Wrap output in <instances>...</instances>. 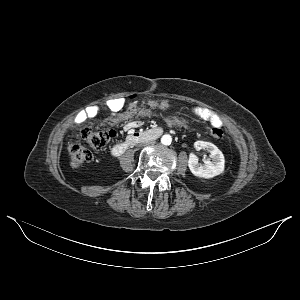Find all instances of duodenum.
<instances>
[{
    "mask_svg": "<svg viewBox=\"0 0 300 300\" xmlns=\"http://www.w3.org/2000/svg\"><path fill=\"white\" fill-rule=\"evenodd\" d=\"M161 134L162 131L159 128H153L144 132L129 133L122 142H119L112 147L111 154L113 156H119L130 146H133L138 142H142L143 140L156 139Z\"/></svg>",
    "mask_w": 300,
    "mask_h": 300,
    "instance_id": "410a0bca",
    "label": "duodenum"
}]
</instances>
